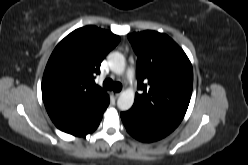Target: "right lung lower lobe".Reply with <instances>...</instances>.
Returning <instances> with one entry per match:
<instances>
[{"instance_id":"98d812e1","label":"right lung lower lobe","mask_w":248,"mask_h":165,"mask_svg":"<svg viewBox=\"0 0 248 165\" xmlns=\"http://www.w3.org/2000/svg\"><path fill=\"white\" fill-rule=\"evenodd\" d=\"M102 116H103V113L97 119H95L92 123H90L89 125L81 128V129H79L73 133H70V134H72L74 136H84L88 133L93 132L98 127V125L102 119Z\"/></svg>"}]
</instances>
